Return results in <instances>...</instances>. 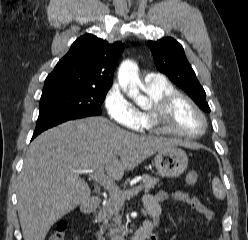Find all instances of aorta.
Here are the masks:
<instances>
[{
  "mask_svg": "<svg viewBox=\"0 0 248 240\" xmlns=\"http://www.w3.org/2000/svg\"><path fill=\"white\" fill-rule=\"evenodd\" d=\"M138 65L131 61L125 60L118 69V82L124 93L134 100L138 105H144L147 98L139 92Z\"/></svg>",
  "mask_w": 248,
  "mask_h": 240,
  "instance_id": "aorta-1",
  "label": "aorta"
}]
</instances>
